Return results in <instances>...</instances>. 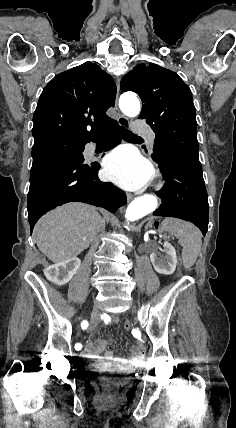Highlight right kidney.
<instances>
[{
  "mask_svg": "<svg viewBox=\"0 0 236 428\" xmlns=\"http://www.w3.org/2000/svg\"><path fill=\"white\" fill-rule=\"evenodd\" d=\"M80 264L81 260H79L77 256H71V258L65 260V262H58V264L48 266V268L44 270V274L49 282H53V284H57V286H64V284H68L74 274H76Z\"/></svg>",
  "mask_w": 236,
  "mask_h": 428,
  "instance_id": "1",
  "label": "right kidney"
}]
</instances>
